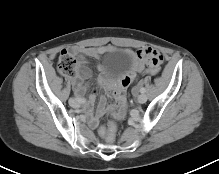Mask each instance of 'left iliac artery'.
<instances>
[{
	"mask_svg": "<svg viewBox=\"0 0 219 174\" xmlns=\"http://www.w3.org/2000/svg\"><path fill=\"white\" fill-rule=\"evenodd\" d=\"M145 91H146V90H145L144 87H142V88L140 89V92H141V93H145Z\"/></svg>",
	"mask_w": 219,
	"mask_h": 174,
	"instance_id": "44dca946",
	"label": "left iliac artery"
}]
</instances>
